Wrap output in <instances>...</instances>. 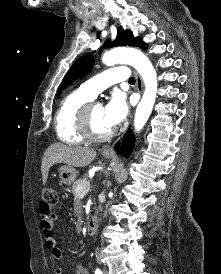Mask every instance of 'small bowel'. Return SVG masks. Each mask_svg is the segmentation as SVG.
Here are the masks:
<instances>
[{
  "mask_svg": "<svg viewBox=\"0 0 221 274\" xmlns=\"http://www.w3.org/2000/svg\"><path fill=\"white\" fill-rule=\"evenodd\" d=\"M40 212V227L45 240V246L50 251L54 260L59 261L62 257L61 251L57 245L53 234L54 222L57 220V215L51 210V206L41 201L39 204ZM55 274H63L61 267L55 269ZM75 274H89L88 271L82 267L75 268Z\"/></svg>",
  "mask_w": 221,
  "mask_h": 274,
  "instance_id": "c3829d8e",
  "label": "small bowel"
}]
</instances>
